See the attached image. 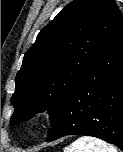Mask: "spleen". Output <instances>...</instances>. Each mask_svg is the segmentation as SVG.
Here are the masks:
<instances>
[{
    "label": "spleen",
    "instance_id": "spleen-1",
    "mask_svg": "<svg viewBox=\"0 0 123 152\" xmlns=\"http://www.w3.org/2000/svg\"><path fill=\"white\" fill-rule=\"evenodd\" d=\"M64 152H117V150L101 139L82 136L65 147Z\"/></svg>",
    "mask_w": 123,
    "mask_h": 152
}]
</instances>
